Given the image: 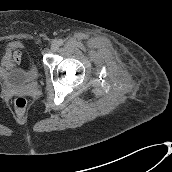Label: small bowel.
I'll list each match as a JSON object with an SVG mask.
<instances>
[{
  "mask_svg": "<svg viewBox=\"0 0 172 172\" xmlns=\"http://www.w3.org/2000/svg\"><path fill=\"white\" fill-rule=\"evenodd\" d=\"M20 59L21 53L19 49L15 44H10L1 57V67L2 69L11 70L19 64Z\"/></svg>",
  "mask_w": 172,
  "mask_h": 172,
  "instance_id": "1",
  "label": "small bowel"
}]
</instances>
